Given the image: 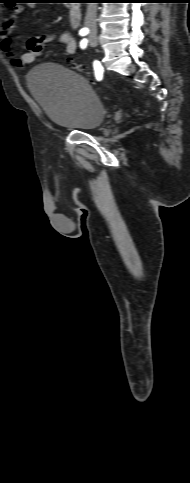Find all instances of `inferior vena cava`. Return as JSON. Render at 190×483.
<instances>
[{
    "label": "inferior vena cava",
    "mask_w": 190,
    "mask_h": 483,
    "mask_svg": "<svg viewBox=\"0 0 190 483\" xmlns=\"http://www.w3.org/2000/svg\"><path fill=\"white\" fill-rule=\"evenodd\" d=\"M97 3H88L85 16V26L91 31H96Z\"/></svg>",
    "instance_id": "obj_1"
}]
</instances>
